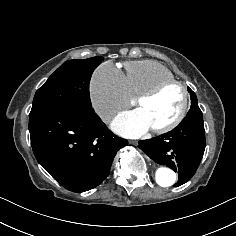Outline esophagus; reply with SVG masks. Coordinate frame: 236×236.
<instances>
[{
    "label": "esophagus",
    "instance_id": "34e87169",
    "mask_svg": "<svg viewBox=\"0 0 236 236\" xmlns=\"http://www.w3.org/2000/svg\"><path fill=\"white\" fill-rule=\"evenodd\" d=\"M129 143L131 144V145H137V141L136 140H131V141H129Z\"/></svg>",
    "mask_w": 236,
    "mask_h": 236
}]
</instances>
